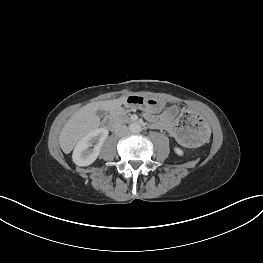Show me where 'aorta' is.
Returning <instances> with one entry per match:
<instances>
[{"instance_id": "1", "label": "aorta", "mask_w": 263, "mask_h": 263, "mask_svg": "<svg viewBox=\"0 0 263 263\" xmlns=\"http://www.w3.org/2000/svg\"><path fill=\"white\" fill-rule=\"evenodd\" d=\"M140 130H141V126L138 123L134 122L129 125V131L131 133H138L140 132Z\"/></svg>"}]
</instances>
